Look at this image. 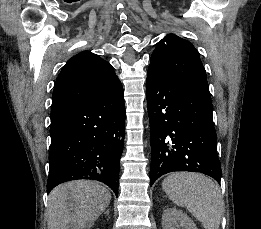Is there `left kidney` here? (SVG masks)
<instances>
[{"label":"left kidney","mask_w":261,"mask_h":229,"mask_svg":"<svg viewBox=\"0 0 261 229\" xmlns=\"http://www.w3.org/2000/svg\"><path fill=\"white\" fill-rule=\"evenodd\" d=\"M163 229H197L192 219L178 211V209H165L162 215Z\"/></svg>","instance_id":"1"}]
</instances>
